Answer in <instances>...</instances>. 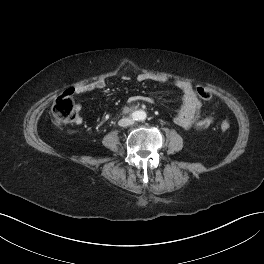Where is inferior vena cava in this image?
Returning a JSON list of instances; mask_svg holds the SVG:
<instances>
[{
	"mask_svg": "<svg viewBox=\"0 0 264 264\" xmlns=\"http://www.w3.org/2000/svg\"><path fill=\"white\" fill-rule=\"evenodd\" d=\"M133 123V120L132 119H129V118H124V119H121L118 124L122 127H125V126H128L130 124Z\"/></svg>",
	"mask_w": 264,
	"mask_h": 264,
	"instance_id": "1",
	"label": "inferior vena cava"
}]
</instances>
